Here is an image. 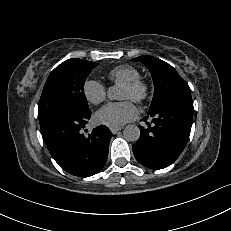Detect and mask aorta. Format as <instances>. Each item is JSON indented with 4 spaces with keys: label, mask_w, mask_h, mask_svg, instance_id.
Returning a JSON list of instances; mask_svg holds the SVG:
<instances>
[{
    "label": "aorta",
    "mask_w": 231,
    "mask_h": 231,
    "mask_svg": "<svg viewBox=\"0 0 231 231\" xmlns=\"http://www.w3.org/2000/svg\"><path fill=\"white\" fill-rule=\"evenodd\" d=\"M107 95L109 99H119L120 93L116 86H112L108 89ZM124 138L127 141L135 142L140 137V129L136 125H127L123 131Z\"/></svg>",
    "instance_id": "obj_1"
}]
</instances>
